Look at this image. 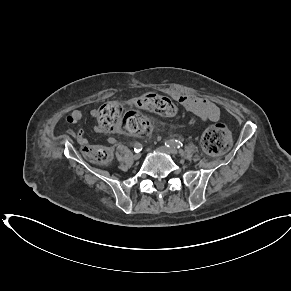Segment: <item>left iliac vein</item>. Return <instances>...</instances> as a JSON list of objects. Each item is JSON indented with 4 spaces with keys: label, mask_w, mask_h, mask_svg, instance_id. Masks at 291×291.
I'll return each mask as SVG.
<instances>
[{
    "label": "left iliac vein",
    "mask_w": 291,
    "mask_h": 291,
    "mask_svg": "<svg viewBox=\"0 0 291 291\" xmlns=\"http://www.w3.org/2000/svg\"><path fill=\"white\" fill-rule=\"evenodd\" d=\"M158 152L167 153L171 155H178V151L175 148H169L166 146H161L156 149Z\"/></svg>",
    "instance_id": "left-iliac-vein-1"
}]
</instances>
